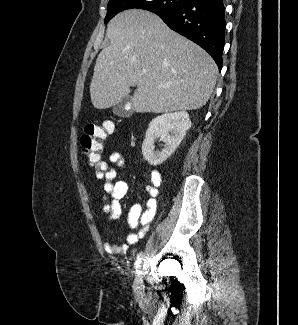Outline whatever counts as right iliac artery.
<instances>
[{
    "label": "right iliac artery",
    "instance_id": "right-iliac-artery-1",
    "mask_svg": "<svg viewBox=\"0 0 298 325\" xmlns=\"http://www.w3.org/2000/svg\"><path fill=\"white\" fill-rule=\"evenodd\" d=\"M142 252H140L137 256L136 262H135V273L138 274L139 273V268L141 266V261H142Z\"/></svg>",
    "mask_w": 298,
    "mask_h": 325
}]
</instances>
